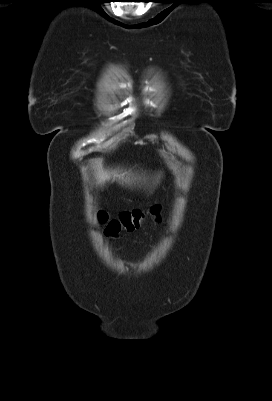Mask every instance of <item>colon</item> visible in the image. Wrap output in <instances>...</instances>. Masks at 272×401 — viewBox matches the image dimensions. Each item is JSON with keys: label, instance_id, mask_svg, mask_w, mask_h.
Instances as JSON below:
<instances>
[{"label": "colon", "instance_id": "colon-1", "mask_svg": "<svg viewBox=\"0 0 272 401\" xmlns=\"http://www.w3.org/2000/svg\"><path fill=\"white\" fill-rule=\"evenodd\" d=\"M158 207H153L149 211L129 210L119 214L116 218H108L101 212L98 215L99 222L105 226V232L108 236H118L123 232H133L139 229L148 215H157Z\"/></svg>", "mask_w": 272, "mask_h": 401}]
</instances>
